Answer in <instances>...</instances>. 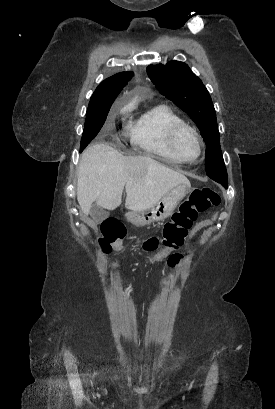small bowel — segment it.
Here are the masks:
<instances>
[{
  "mask_svg": "<svg viewBox=\"0 0 275 409\" xmlns=\"http://www.w3.org/2000/svg\"><path fill=\"white\" fill-rule=\"evenodd\" d=\"M181 260H182V257L181 256H169L168 257V262L170 263L169 265H168V268L170 269V270H174L175 268H176V265H178L180 262H181ZM190 260V259H189ZM119 272V271H118ZM115 277V276H114ZM116 278L117 279H120L121 278V275L120 274H117L116 275ZM116 281V280H115Z\"/></svg>",
  "mask_w": 275,
  "mask_h": 409,
  "instance_id": "small-bowel-1",
  "label": "small bowel"
}]
</instances>
